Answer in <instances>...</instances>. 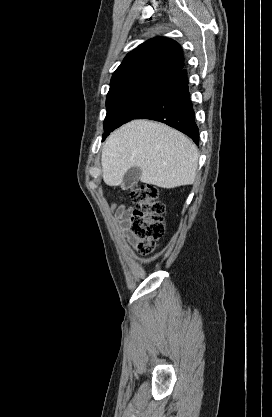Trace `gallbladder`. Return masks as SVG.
<instances>
[{
    "label": "gallbladder",
    "mask_w": 272,
    "mask_h": 417,
    "mask_svg": "<svg viewBox=\"0 0 272 417\" xmlns=\"http://www.w3.org/2000/svg\"><path fill=\"white\" fill-rule=\"evenodd\" d=\"M141 176V170L138 167L130 168L124 176V188L128 189L138 183Z\"/></svg>",
    "instance_id": "obj_1"
}]
</instances>
